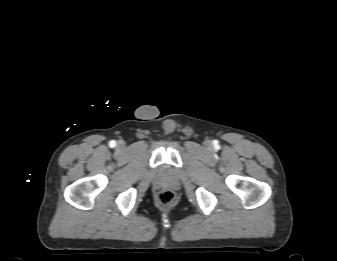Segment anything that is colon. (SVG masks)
<instances>
[{"label": "colon", "instance_id": "colon-1", "mask_svg": "<svg viewBox=\"0 0 337 261\" xmlns=\"http://www.w3.org/2000/svg\"><path fill=\"white\" fill-rule=\"evenodd\" d=\"M175 200V194L171 190H162L158 193V202L163 206L171 205Z\"/></svg>", "mask_w": 337, "mask_h": 261}]
</instances>
